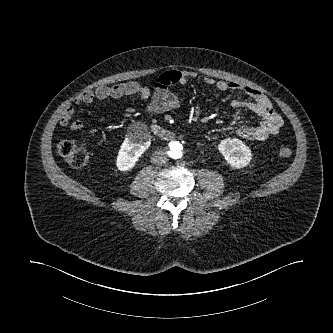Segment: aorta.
Segmentation results:
<instances>
[{
  "label": "aorta",
  "instance_id": "obj_1",
  "mask_svg": "<svg viewBox=\"0 0 333 333\" xmlns=\"http://www.w3.org/2000/svg\"><path fill=\"white\" fill-rule=\"evenodd\" d=\"M171 149H172V152H173L175 158L178 159V158L182 157L183 150H184L183 143L178 142V141L173 142L171 144Z\"/></svg>",
  "mask_w": 333,
  "mask_h": 333
}]
</instances>
